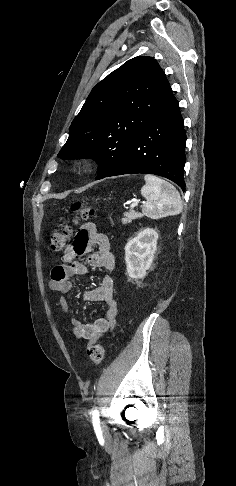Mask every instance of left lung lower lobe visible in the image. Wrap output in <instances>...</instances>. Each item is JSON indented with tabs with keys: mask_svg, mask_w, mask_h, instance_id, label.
<instances>
[{
	"mask_svg": "<svg viewBox=\"0 0 236 486\" xmlns=\"http://www.w3.org/2000/svg\"><path fill=\"white\" fill-rule=\"evenodd\" d=\"M185 146L183 118L173 95L168 104L134 137L124 155L105 177L155 174L175 182L184 191Z\"/></svg>",
	"mask_w": 236,
	"mask_h": 486,
	"instance_id": "left-lung-lower-lobe-1",
	"label": "left lung lower lobe"
}]
</instances>
